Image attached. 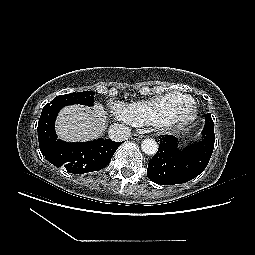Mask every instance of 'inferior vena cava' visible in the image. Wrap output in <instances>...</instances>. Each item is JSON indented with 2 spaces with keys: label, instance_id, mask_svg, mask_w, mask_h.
<instances>
[{
  "label": "inferior vena cava",
  "instance_id": "1",
  "mask_svg": "<svg viewBox=\"0 0 255 255\" xmlns=\"http://www.w3.org/2000/svg\"><path fill=\"white\" fill-rule=\"evenodd\" d=\"M109 138L115 142L127 140L131 135V129L123 124H111L108 131Z\"/></svg>",
  "mask_w": 255,
  "mask_h": 255
}]
</instances>
